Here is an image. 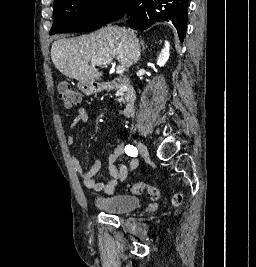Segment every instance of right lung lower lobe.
I'll use <instances>...</instances> for the list:
<instances>
[{
  "instance_id": "1",
  "label": "right lung lower lobe",
  "mask_w": 256,
  "mask_h": 267,
  "mask_svg": "<svg viewBox=\"0 0 256 267\" xmlns=\"http://www.w3.org/2000/svg\"><path fill=\"white\" fill-rule=\"evenodd\" d=\"M188 2L189 0H131L125 13L129 16L130 27L137 30L147 29L156 22L170 21L183 42L187 28Z\"/></svg>"
}]
</instances>
